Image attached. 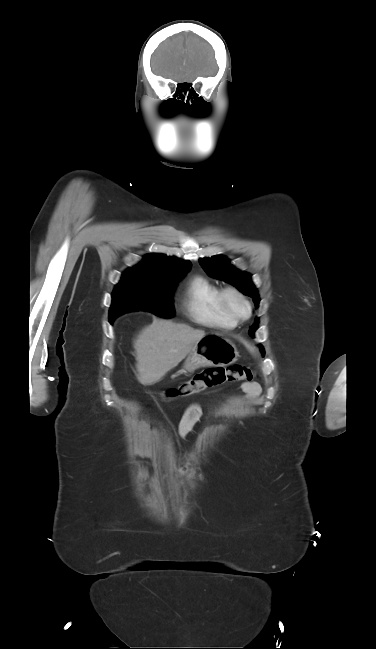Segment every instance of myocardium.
<instances>
[{
	"label": "myocardium",
	"mask_w": 376,
	"mask_h": 649,
	"mask_svg": "<svg viewBox=\"0 0 376 649\" xmlns=\"http://www.w3.org/2000/svg\"><path fill=\"white\" fill-rule=\"evenodd\" d=\"M237 299L239 300L243 306L244 309L241 312L236 311L232 305H231V299ZM220 300L221 304L225 310V312L235 319L237 322L238 321H243L249 318L251 314V303L246 297L244 293H242L240 290H238L235 287H226L221 289L220 292Z\"/></svg>",
	"instance_id": "f54148a6"
}]
</instances>
